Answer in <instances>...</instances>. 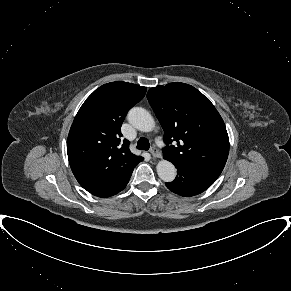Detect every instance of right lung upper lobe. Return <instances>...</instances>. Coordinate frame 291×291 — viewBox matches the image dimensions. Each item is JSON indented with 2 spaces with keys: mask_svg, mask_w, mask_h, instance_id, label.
<instances>
[{
  "mask_svg": "<svg viewBox=\"0 0 291 291\" xmlns=\"http://www.w3.org/2000/svg\"><path fill=\"white\" fill-rule=\"evenodd\" d=\"M146 87L116 81L102 85L83 103L72 123L67 154L79 184L97 197L122 191L143 157L121 142V126L130 108L141 101Z\"/></svg>",
  "mask_w": 291,
  "mask_h": 291,
  "instance_id": "1",
  "label": "right lung upper lobe"
}]
</instances>
